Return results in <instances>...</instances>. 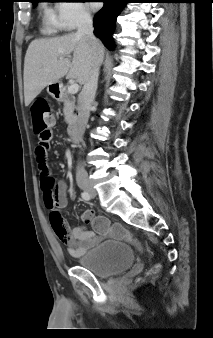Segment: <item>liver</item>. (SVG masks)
<instances>
[{"mask_svg":"<svg viewBox=\"0 0 213 338\" xmlns=\"http://www.w3.org/2000/svg\"><path fill=\"white\" fill-rule=\"evenodd\" d=\"M71 53L72 61L69 59ZM92 65L91 43L75 33L32 41L24 61L25 105L28 106L46 86L57 83L64 76L85 84Z\"/></svg>","mask_w":213,"mask_h":338,"instance_id":"obj_1","label":"liver"}]
</instances>
